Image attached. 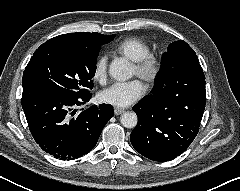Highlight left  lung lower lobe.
I'll return each instance as SVG.
<instances>
[{"mask_svg":"<svg viewBox=\"0 0 240 191\" xmlns=\"http://www.w3.org/2000/svg\"><path fill=\"white\" fill-rule=\"evenodd\" d=\"M205 105L204 73L179 75L133 107L138 124L130 135L131 144L153 161L176 158L196 137Z\"/></svg>","mask_w":240,"mask_h":191,"instance_id":"1","label":"left lung lower lobe"}]
</instances>
